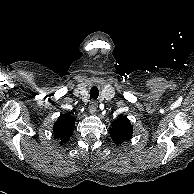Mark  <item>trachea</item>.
Wrapping results in <instances>:
<instances>
[{"mask_svg": "<svg viewBox=\"0 0 194 194\" xmlns=\"http://www.w3.org/2000/svg\"><path fill=\"white\" fill-rule=\"evenodd\" d=\"M99 96V90L96 87H92L90 90V97L96 100Z\"/></svg>", "mask_w": 194, "mask_h": 194, "instance_id": "obj_1", "label": "trachea"}]
</instances>
